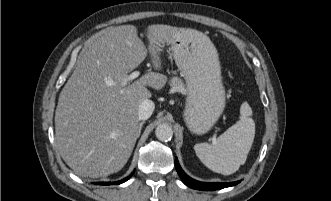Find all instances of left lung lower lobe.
<instances>
[{
    "instance_id": "left-lung-lower-lobe-1",
    "label": "left lung lower lobe",
    "mask_w": 331,
    "mask_h": 201,
    "mask_svg": "<svg viewBox=\"0 0 331 201\" xmlns=\"http://www.w3.org/2000/svg\"><path fill=\"white\" fill-rule=\"evenodd\" d=\"M175 168H176L180 178L184 182V184H186L190 188L197 189V190H204V191L219 190V189L234 186V185L240 183V181L230 182V183H205V182L196 181L184 173V171L181 169V167L178 163L177 158H175Z\"/></svg>"
}]
</instances>
